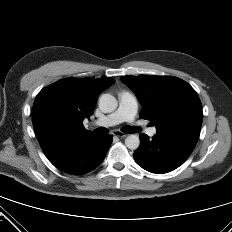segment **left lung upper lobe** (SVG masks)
<instances>
[{"mask_svg":"<svg viewBox=\"0 0 232 232\" xmlns=\"http://www.w3.org/2000/svg\"><path fill=\"white\" fill-rule=\"evenodd\" d=\"M136 94L143 109L140 118L151 119L157 132L200 133L202 106L196 91L173 76H122Z\"/></svg>","mask_w":232,"mask_h":232,"instance_id":"left-lung-upper-lobe-1","label":"left lung upper lobe"}]
</instances>
